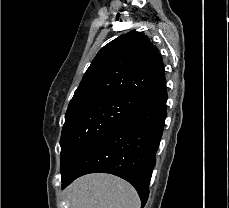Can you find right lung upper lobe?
<instances>
[{"instance_id":"right-lung-upper-lobe-1","label":"right lung upper lobe","mask_w":229,"mask_h":208,"mask_svg":"<svg viewBox=\"0 0 229 208\" xmlns=\"http://www.w3.org/2000/svg\"><path fill=\"white\" fill-rule=\"evenodd\" d=\"M158 52L142 32L114 39L92 61L68 109L106 95L126 96L142 104L157 97L166 90L164 64Z\"/></svg>"}]
</instances>
